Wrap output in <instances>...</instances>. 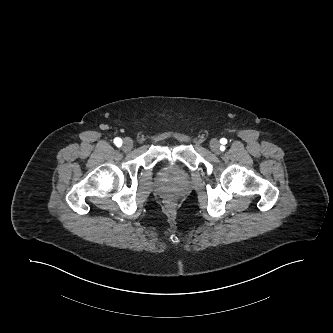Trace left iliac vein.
<instances>
[{
	"label": "left iliac vein",
	"instance_id": "1",
	"mask_svg": "<svg viewBox=\"0 0 333 333\" xmlns=\"http://www.w3.org/2000/svg\"><path fill=\"white\" fill-rule=\"evenodd\" d=\"M210 148L212 150V152H214L215 154H218L220 152V143L217 139H212L210 141Z\"/></svg>",
	"mask_w": 333,
	"mask_h": 333
}]
</instances>
